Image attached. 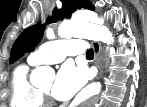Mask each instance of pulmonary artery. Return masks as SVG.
I'll return each mask as SVG.
<instances>
[{"label":"pulmonary artery","instance_id":"1","mask_svg":"<svg viewBox=\"0 0 147 107\" xmlns=\"http://www.w3.org/2000/svg\"><path fill=\"white\" fill-rule=\"evenodd\" d=\"M87 45L83 40L62 39L42 44L31 56L35 64H55L66 56L86 53Z\"/></svg>","mask_w":147,"mask_h":107}]
</instances>
